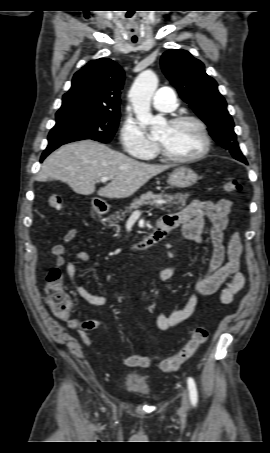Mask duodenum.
<instances>
[{
    "instance_id": "410a0bca",
    "label": "duodenum",
    "mask_w": 270,
    "mask_h": 453,
    "mask_svg": "<svg viewBox=\"0 0 270 453\" xmlns=\"http://www.w3.org/2000/svg\"><path fill=\"white\" fill-rule=\"evenodd\" d=\"M108 211L109 210L106 207H99L96 209L97 214H106ZM170 231H172V228L168 227L163 221H161L147 238L135 244L133 248L136 251L146 250L165 239Z\"/></svg>"
}]
</instances>
